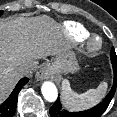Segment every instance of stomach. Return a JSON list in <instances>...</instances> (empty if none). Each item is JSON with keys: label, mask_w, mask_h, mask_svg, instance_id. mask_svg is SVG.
<instances>
[{"label": "stomach", "mask_w": 117, "mask_h": 117, "mask_svg": "<svg viewBox=\"0 0 117 117\" xmlns=\"http://www.w3.org/2000/svg\"><path fill=\"white\" fill-rule=\"evenodd\" d=\"M47 69L52 74L75 73L79 69L74 52L66 50L57 55L52 63L47 65Z\"/></svg>", "instance_id": "stomach-1"}]
</instances>
